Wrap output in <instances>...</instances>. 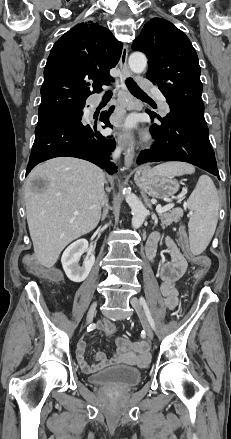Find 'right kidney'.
<instances>
[{"instance_id":"ca27d5eb","label":"right kidney","mask_w":231,"mask_h":439,"mask_svg":"<svg viewBox=\"0 0 231 439\" xmlns=\"http://www.w3.org/2000/svg\"><path fill=\"white\" fill-rule=\"evenodd\" d=\"M84 252H87V257L83 265L79 266L78 263ZM61 262L65 274L71 281L82 282L89 275L95 262V256L89 251L88 241L86 239H79L66 248Z\"/></svg>"}]
</instances>
